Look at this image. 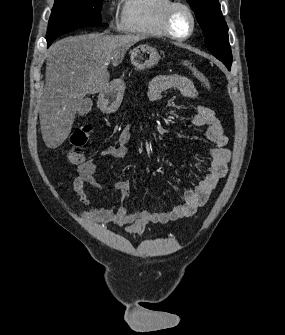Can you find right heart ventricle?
<instances>
[{"instance_id": "right-heart-ventricle-1", "label": "right heart ventricle", "mask_w": 285, "mask_h": 335, "mask_svg": "<svg viewBox=\"0 0 285 335\" xmlns=\"http://www.w3.org/2000/svg\"><path fill=\"white\" fill-rule=\"evenodd\" d=\"M173 1H133L134 16L129 21L143 39H167L170 34L165 25V13Z\"/></svg>"}]
</instances>
